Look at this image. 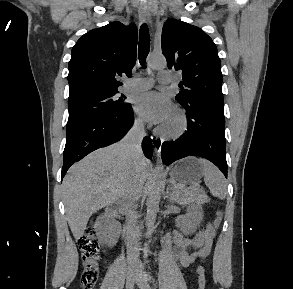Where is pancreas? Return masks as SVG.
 I'll list each match as a JSON object with an SVG mask.
<instances>
[{"label": "pancreas", "instance_id": "obj_1", "mask_svg": "<svg viewBox=\"0 0 293 289\" xmlns=\"http://www.w3.org/2000/svg\"><path fill=\"white\" fill-rule=\"evenodd\" d=\"M170 201L177 203H192L201 205L208 202L209 198L206 193L197 187H185L180 184H175L171 188Z\"/></svg>", "mask_w": 293, "mask_h": 289}]
</instances>
